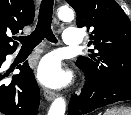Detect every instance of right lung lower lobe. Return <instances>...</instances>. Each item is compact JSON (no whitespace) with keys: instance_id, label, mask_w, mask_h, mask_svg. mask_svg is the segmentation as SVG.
<instances>
[{"instance_id":"right-lung-lower-lobe-1","label":"right lung lower lobe","mask_w":131,"mask_h":115,"mask_svg":"<svg viewBox=\"0 0 131 115\" xmlns=\"http://www.w3.org/2000/svg\"><path fill=\"white\" fill-rule=\"evenodd\" d=\"M5 57L0 58V67ZM21 73L13 76L10 84L1 80L0 74V112L6 115H36L40 102V91L32 69L25 62L19 67Z\"/></svg>"}]
</instances>
